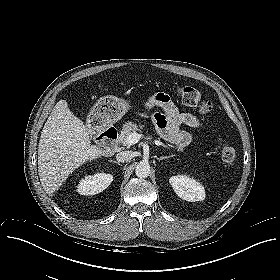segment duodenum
Segmentation results:
<instances>
[{
    "instance_id": "410a0bca",
    "label": "duodenum",
    "mask_w": 280,
    "mask_h": 280,
    "mask_svg": "<svg viewBox=\"0 0 280 280\" xmlns=\"http://www.w3.org/2000/svg\"><path fill=\"white\" fill-rule=\"evenodd\" d=\"M100 135L104 139L106 151L112 152L115 148L118 137L117 128L114 125H109L101 132Z\"/></svg>"
}]
</instances>
